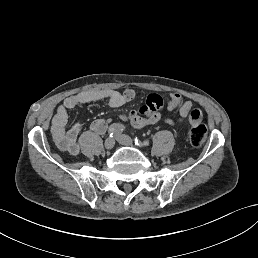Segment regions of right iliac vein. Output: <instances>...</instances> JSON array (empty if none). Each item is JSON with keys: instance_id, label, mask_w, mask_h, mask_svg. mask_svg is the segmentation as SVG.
Wrapping results in <instances>:
<instances>
[{"instance_id": "63e3f726", "label": "right iliac vein", "mask_w": 258, "mask_h": 258, "mask_svg": "<svg viewBox=\"0 0 258 258\" xmlns=\"http://www.w3.org/2000/svg\"><path fill=\"white\" fill-rule=\"evenodd\" d=\"M114 145H115V140H114V138H112V137L107 138V139L105 140V142H104V147H105L106 149H111V148L114 147Z\"/></svg>"}]
</instances>
